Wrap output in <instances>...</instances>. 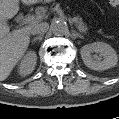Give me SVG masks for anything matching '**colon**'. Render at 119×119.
Returning a JSON list of instances; mask_svg holds the SVG:
<instances>
[{
  "label": "colon",
  "instance_id": "colon-1",
  "mask_svg": "<svg viewBox=\"0 0 119 119\" xmlns=\"http://www.w3.org/2000/svg\"><path fill=\"white\" fill-rule=\"evenodd\" d=\"M110 4H111L112 6H117V5H118V1H116V0H111V1H110Z\"/></svg>",
  "mask_w": 119,
  "mask_h": 119
}]
</instances>
